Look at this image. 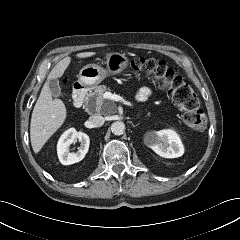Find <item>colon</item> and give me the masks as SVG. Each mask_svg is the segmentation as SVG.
Here are the masks:
<instances>
[{
    "label": "colon",
    "mask_w": 240,
    "mask_h": 240,
    "mask_svg": "<svg viewBox=\"0 0 240 240\" xmlns=\"http://www.w3.org/2000/svg\"><path fill=\"white\" fill-rule=\"evenodd\" d=\"M132 69L145 77L153 78L170 96L171 101L183 111L184 123L194 131H203L207 117L199 108V100L191 88L166 62L139 57L131 62Z\"/></svg>",
    "instance_id": "1"
}]
</instances>
